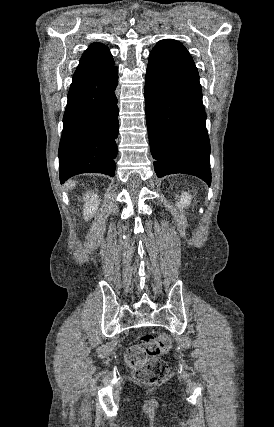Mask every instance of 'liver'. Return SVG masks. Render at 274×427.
I'll return each instance as SVG.
<instances>
[{
	"mask_svg": "<svg viewBox=\"0 0 274 427\" xmlns=\"http://www.w3.org/2000/svg\"><path fill=\"white\" fill-rule=\"evenodd\" d=\"M76 182H71V180H69V182H67L66 186L67 188H74Z\"/></svg>",
	"mask_w": 274,
	"mask_h": 427,
	"instance_id": "obj_1",
	"label": "liver"
}]
</instances>
